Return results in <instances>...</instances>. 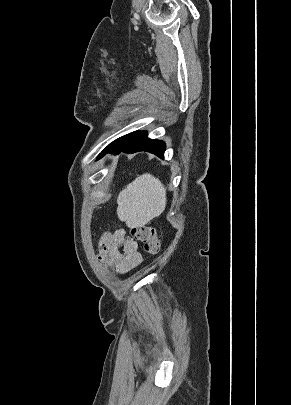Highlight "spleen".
Here are the masks:
<instances>
[{
	"label": "spleen",
	"mask_w": 291,
	"mask_h": 405,
	"mask_svg": "<svg viewBox=\"0 0 291 405\" xmlns=\"http://www.w3.org/2000/svg\"><path fill=\"white\" fill-rule=\"evenodd\" d=\"M117 203L121 220L146 224L165 210L166 189L158 178L145 173L119 193Z\"/></svg>",
	"instance_id": "1"
}]
</instances>
